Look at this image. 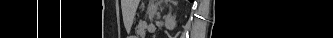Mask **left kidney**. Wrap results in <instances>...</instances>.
I'll return each mask as SVG.
<instances>
[{"label": "left kidney", "mask_w": 333, "mask_h": 38, "mask_svg": "<svg viewBox=\"0 0 333 38\" xmlns=\"http://www.w3.org/2000/svg\"><path fill=\"white\" fill-rule=\"evenodd\" d=\"M176 25L175 17L171 16V14H168L166 20H165V26L168 29L174 28Z\"/></svg>", "instance_id": "left-kidney-1"}]
</instances>
